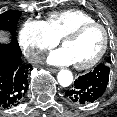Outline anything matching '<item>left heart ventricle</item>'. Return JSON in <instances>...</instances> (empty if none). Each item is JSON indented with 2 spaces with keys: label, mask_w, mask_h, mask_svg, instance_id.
Wrapping results in <instances>:
<instances>
[{
  "label": "left heart ventricle",
  "mask_w": 117,
  "mask_h": 117,
  "mask_svg": "<svg viewBox=\"0 0 117 117\" xmlns=\"http://www.w3.org/2000/svg\"><path fill=\"white\" fill-rule=\"evenodd\" d=\"M103 41V32L94 27L76 39L67 40L63 46L70 53L74 63L84 64L96 56L103 45Z\"/></svg>",
  "instance_id": "b2bd125f"
}]
</instances>
